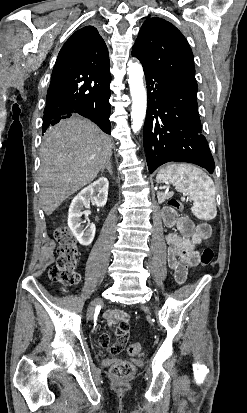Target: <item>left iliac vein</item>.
I'll return each instance as SVG.
<instances>
[{"label":"left iliac vein","instance_id":"4c4485c4","mask_svg":"<svg viewBox=\"0 0 247 413\" xmlns=\"http://www.w3.org/2000/svg\"><path fill=\"white\" fill-rule=\"evenodd\" d=\"M143 309L147 312L149 311L148 307H143Z\"/></svg>","mask_w":247,"mask_h":413}]
</instances>
